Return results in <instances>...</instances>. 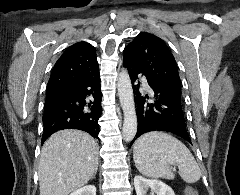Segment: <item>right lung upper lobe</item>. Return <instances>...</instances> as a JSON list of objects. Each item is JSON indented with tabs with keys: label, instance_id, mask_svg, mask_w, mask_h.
<instances>
[{
	"label": "right lung upper lobe",
	"instance_id": "1",
	"mask_svg": "<svg viewBox=\"0 0 240 195\" xmlns=\"http://www.w3.org/2000/svg\"><path fill=\"white\" fill-rule=\"evenodd\" d=\"M98 74L95 48L79 42L68 47L55 63L47 87L81 83Z\"/></svg>",
	"mask_w": 240,
	"mask_h": 195
}]
</instances>
